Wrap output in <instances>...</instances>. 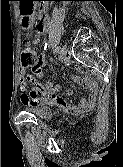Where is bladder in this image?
I'll list each match as a JSON object with an SVG mask.
<instances>
[{
    "instance_id": "bladder-1",
    "label": "bladder",
    "mask_w": 123,
    "mask_h": 167,
    "mask_svg": "<svg viewBox=\"0 0 123 167\" xmlns=\"http://www.w3.org/2000/svg\"><path fill=\"white\" fill-rule=\"evenodd\" d=\"M23 109L24 111L43 119H47L51 115L50 108L43 104L26 105L23 107Z\"/></svg>"
}]
</instances>
